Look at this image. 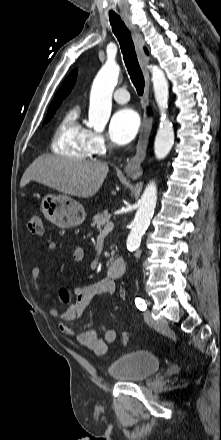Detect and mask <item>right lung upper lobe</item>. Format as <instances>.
I'll list each match as a JSON object with an SVG mask.
<instances>
[{
  "label": "right lung upper lobe",
  "instance_id": "obj_1",
  "mask_svg": "<svg viewBox=\"0 0 221 440\" xmlns=\"http://www.w3.org/2000/svg\"><path fill=\"white\" fill-rule=\"evenodd\" d=\"M145 51L147 53L146 49ZM76 77H77V70L75 69L68 75V77L64 80V82L58 89L55 98L52 101L48 111L55 108L56 106H59L62 100L71 92V89L75 85Z\"/></svg>",
  "mask_w": 221,
  "mask_h": 440
}]
</instances>
